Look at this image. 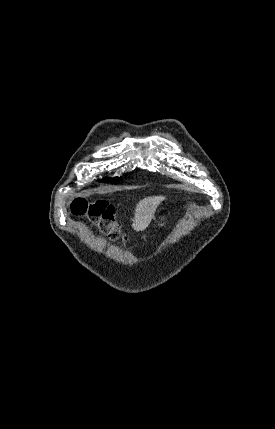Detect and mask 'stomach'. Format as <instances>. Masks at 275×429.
I'll list each match as a JSON object with an SVG mask.
<instances>
[{
  "mask_svg": "<svg viewBox=\"0 0 275 429\" xmlns=\"http://www.w3.org/2000/svg\"><path fill=\"white\" fill-rule=\"evenodd\" d=\"M166 222H167V218L165 217V216H161V217H159L158 218V220H157V226L160 228V227H163L165 224H166Z\"/></svg>",
  "mask_w": 275,
  "mask_h": 429,
  "instance_id": "1",
  "label": "stomach"
}]
</instances>
